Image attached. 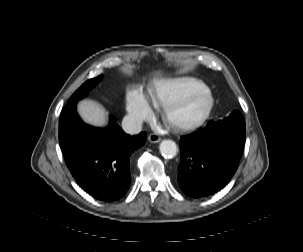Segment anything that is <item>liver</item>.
Returning <instances> with one entry per match:
<instances>
[{"label":"liver","mask_w":303,"mask_h":252,"mask_svg":"<svg viewBox=\"0 0 303 252\" xmlns=\"http://www.w3.org/2000/svg\"><path fill=\"white\" fill-rule=\"evenodd\" d=\"M78 110L86 122L94 126H104L106 124L105 110L97 103L84 100L79 104Z\"/></svg>","instance_id":"liver-1"}]
</instances>
